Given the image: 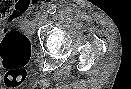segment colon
Wrapping results in <instances>:
<instances>
[{
	"label": "colon",
	"mask_w": 131,
	"mask_h": 89,
	"mask_svg": "<svg viewBox=\"0 0 131 89\" xmlns=\"http://www.w3.org/2000/svg\"><path fill=\"white\" fill-rule=\"evenodd\" d=\"M8 3V10H2L3 2L0 1V17L3 14L12 13L13 4ZM19 15V14H17ZM23 15V14H22ZM19 18H21V16ZM32 16L22 18V23H29ZM31 56V42L29 38L20 31H9L4 34L0 41V71L4 70L3 76L0 75L7 87H18L26 77L25 66Z\"/></svg>",
	"instance_id": "obj_1"
}]
</instances>
